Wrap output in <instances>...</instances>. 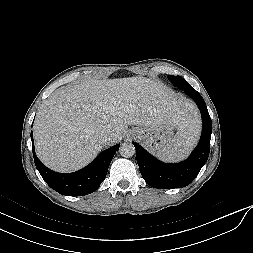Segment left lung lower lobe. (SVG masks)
Masks as SVG:
<instances>
[{
  "mask_svg": "<svg viewBox=\"0 0 253 253\" xmlns=\"http://www.w3.org/2000/svg\"><path fill=\"white\" fill-rule=\"evenodd\" d=\"M185 92L196 102L202 115L203 129L198 146L188 159L177 164H165L132 142L136 149L137 163L144 180L158 189L182 188L189 185L206 163L210 152L212 122L202 96L191 86Z\"/></svg>",
  "mask_w": 253,
  "mask_h": 253,
  "instance_id": "0a47b994",
  "label": "left lung lower lobe"
}]
</instances>
